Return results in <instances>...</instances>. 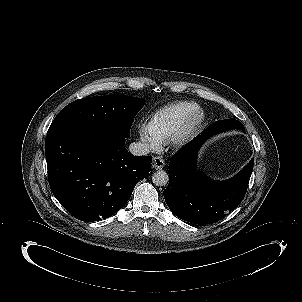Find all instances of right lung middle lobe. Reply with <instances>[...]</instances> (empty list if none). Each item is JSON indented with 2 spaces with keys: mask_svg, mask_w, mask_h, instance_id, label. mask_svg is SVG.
Segmentation results:
<instances>
[{
  "mask_svg": "<svg viewBox=\"0 0 302 302\" xmlns=\"http://www.w3.org/2000/svg\"><path fill=\"white\" fill-rule=\"evenodd\" d=\"M144 102L142 98L121 95L79 99L58 113L49 130L69 124L91 123L108 126L129 137L134 117Z\"/></svg>",
  "mask_w": 302,
  "mask_h": 302,
  "instance_id": "right-lung-middle-lobe-1",
  "label": "right lung middle lobe"
}]
</instances>
